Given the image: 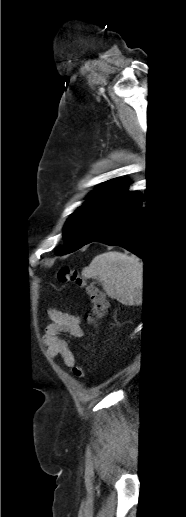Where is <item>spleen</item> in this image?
<instances>
[{"instance_id":"spleen-1","label":"spleen","mask_w":186,"mask_h":517,"mask_svg":"<svg viewBox=\"0 0 186 517\" xmlns=\"http://www.w3.org/2000/svg\"><path fill=\"white\" fill-rule=\"evenodd\" d=\"M143 272L144 264L138 258L111 251L97 255L82 276L98 280L106 294L122 304L141 305Z\"/></svg>"}]
</instances>
